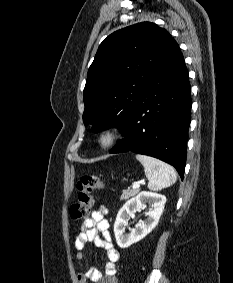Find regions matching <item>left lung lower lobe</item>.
I'll return each mask as SVG.
<instances>
[{"instance_id":"left-lung-lower-lobe-1","label":"left lung lower lobe","mask_w":233,"mask_h":283,"mask_svg":"<svg viewBox=\"0 0 233 283\" xmlns=\"http://www.w3.org/2000/svg\"><path fill=\"white\" fill-rule=\"evenodd\" d=\"M191 106L188 70L176 43L147 80L122 130L125 138L110 153L133 151L158 158L183 179Z\"/></svg>"}]
</instances>
